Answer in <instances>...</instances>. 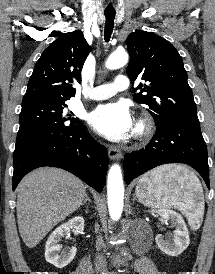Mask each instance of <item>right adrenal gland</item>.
Returning a JSON list of instances; mask_svg holds the SVG:
<instances>
[{
	"mask_svg": "<svg viewBox=\"0 0 215 274\" xmlns=\"http://www.w3.org/2000/svg\"><path fill=\"white\" fill-rule=\"evenodd\" d=\"M87 201H88V202H91L90 198L88 197V194L86 193V194H85V199H84L82 205H84Z\"/></svg>",
	"mask_w": 215,
	"mask_h": 274,
	"instance_id": "1",
	"label": "right adrenal gland"
}]
</instances>
